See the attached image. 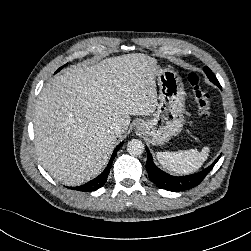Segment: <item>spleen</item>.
<instances>
[{
  "instance_id": "3e777b00",
  "label": "spleen",
  "mask_w": 251,
  "mask_h": 251,
  "mask_svg": "<svg viewBox=\"0 0 251 251\" xmlns=\"http://www.w3.org/2000/svg\"><path fill=\"white\" fill-rule=\"evenodd\" d=\"M210 148L204 147L179 152H157L158 162L167 170L176 174H190L197 171L207 160Z\"/></svg>"
}]
</instances>
